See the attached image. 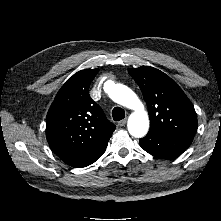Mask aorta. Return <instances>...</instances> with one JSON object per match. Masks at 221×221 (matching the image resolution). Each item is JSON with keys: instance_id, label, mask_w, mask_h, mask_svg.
<instances>
[{"instance_id": "aorta-1", "label": "aorta", "mask_w": 221, "mask_h": 221, "mask_svg": "<svg viewBox=\"0 0 221 221\" xmlns=\"http://www.w3.org/2000/svg\"><path fill=\"white\" fill-rule=\"evenodd\" d=\"M108 95L114 102L134 111L128 119L129 133L136 138L145 136L149 129V117L137 95L123 84H113Z\"/></svg>"}]
</instances>
